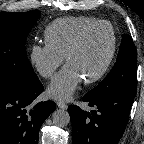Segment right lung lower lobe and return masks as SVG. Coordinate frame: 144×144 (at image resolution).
<instances>
[{"label": "right lung lower lobe", "instance_id": "right-lung-lower-lobe-1", "mask_svg": "<svg viewBox=\"0 0 144 144\" xmlns=\"http://www.w3.org/2000/svg\"><path fill=\"white\" fill-rule=\"evenodd\" d=\"M43 90L40 81L30 87L0 84V144H38L40 127L55 110L53 101L35 104Z\"/></svg>", "mask_w": 144, "mask_h": 144}]
</instances>
